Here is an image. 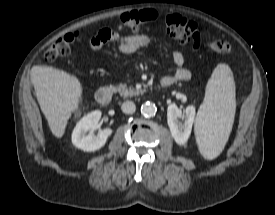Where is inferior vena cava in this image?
<instances>
[{
    "mask_svg": "<svg viewBox=\"0 0 275 215\" xmlns=\"http://www.w3.org/2000/svg\"><path fill=\"white\" fill-rule=\"evenodd\" d=\"M121 109L126 114H132L136 110V106L132 101H125L121 105Z\"/></svg>",
    "mask_w": 275,
    "mask_h": 215,
    "instance_id": "602c4592",
    "label": "inferior vena cava"
}]
</instances>
